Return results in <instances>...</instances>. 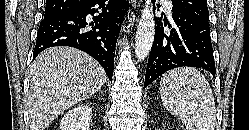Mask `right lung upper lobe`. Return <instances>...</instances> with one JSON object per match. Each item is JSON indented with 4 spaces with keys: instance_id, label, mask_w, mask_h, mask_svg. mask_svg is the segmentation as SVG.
Here are the masks:
<instances>
[{
    "instance_id": "cb5924a9",
    "label": "right lung upper lobe",
    "mask_w": 249,
    "mask_h": 130,
    "mask_svg": "<svg viewBox=\"0 0 249 130\" xmlns=\"http://www.w3.org/2000/svg\"><path fill=\"white\" fill-rule=\"evenodd\" d=\"M84 0H46L45 13L63 14L73 10Z\"/></svg>"
}]
</instances>
